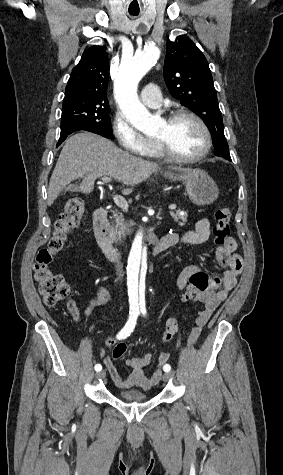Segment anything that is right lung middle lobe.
Masks as SVG:
<instances>
[{
    "label": "right lung middle lobe",
    "instance_id": "dd1d6c3e",
    "mask_svg": "<svg viewBox=\"0 0 283 475\" xmlns=\"http://www.w3.org/2000/svg\"><path fill=\"white\" fill-rule=\"evenodd\" d=\"M110 106L107 98L64 97L61 117V130L79 128L112 137Z\"/></svg>",
    "mask_w": 283,
    "mask_h": 475
}]
</instances>
